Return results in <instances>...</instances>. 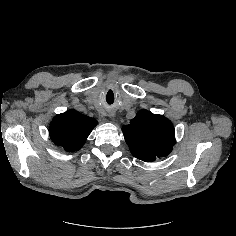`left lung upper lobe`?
<instances>
[{"label": "left lung upper lobe", "mask_w": 236, "mask_h": 236, "mask_svg": "<svg viewBox=\"0 0 236 236\" xmlns=\"http://www.w3.org/2000/svg\"><path fill=\"white\" fill-rule=\"evenodd\" d=\"M122 131L132 155L146 162L167 156L175 144L171 121L147 110H140Z\"/></svg>", "instance_id": "obj_1"}]
</instances>
